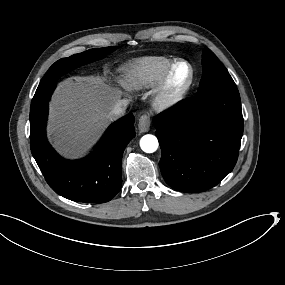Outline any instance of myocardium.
Masks as SVG:
<instances>
[{"label":"myocardium","mask_w":285,"mask_h":285,"mask_svg":"<svg viewBox=\"0 0 285 285\" xmlns=\"http://www.w3.org/2000/svg\"><path fill=\"white\" fill-rule=\"evenodd\" d=\"M192 81V73L182 79L174 68H171L149 95V106L157 112L172 108L185 97Z\"/></svg>","instance_id":"1"}]
</instances>
